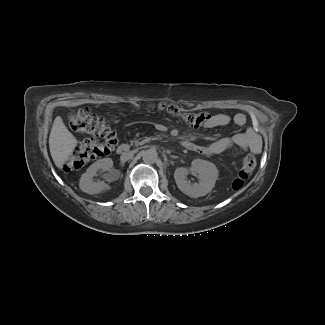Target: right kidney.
I'll list each match as a JSON object with an SVG mask.
<instances>
[{
  "label": "right kidney",
  "mask_w": 325,
  "mask_h": 325,
  "mask_svg": "<svg viewBox=\"0 0 325 325\" xmlns=\"http://www.w3.org/2000/svg\"><path fill=\"white\" fill-rule=\"evenodd\" d=\"M113 161L111 158H104L93 163L84 174H82L79 182L80 189L88 194H98L102 191L108 190L110 187L104 181L93 180V177L96 176L97 171L103 170L108 171L112 168Z\"/></svg>",
  "instance_id": "right-kidney-1"
}]
</instances>
